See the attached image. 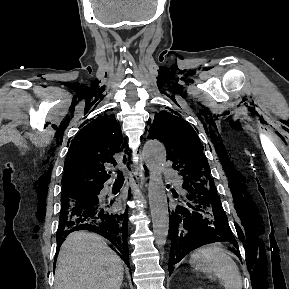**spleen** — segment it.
I'll list each match as a JSON object with an SVG mask.
<instances>
[{
	"label": "spleen",
	"mask_w": 289,
	"mask_h": 289,
	"mask_svg": "<svg viewBox=\"0 0 289 289\" xmlns=\"http://www.w3.org/2000/svg\"><path fill=\"white\" fill-rule=\"evenodd\" d=\"M190 264L196 270L215 274L224 289H242V277L237 264L218 243L196 249L191 255Z\"/></svg>",
	"instance_id": "spleen-1"
}]
</instances>
